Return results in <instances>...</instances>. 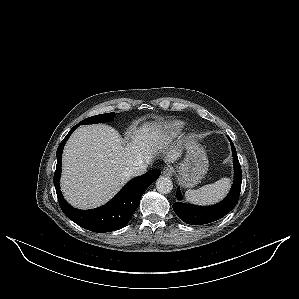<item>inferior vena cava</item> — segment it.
Masks as SVG:
<instances>
[{
    "instance_id": "1",
    "label": "inferior vena cava",
    "mask_w": 299,
    "mask_h": 299,
    "mask_svg": "<svg viewBox=\"0 0 299 299\" xmlns=\"http://www.w3.org/2000/svg\"><path fill=\"white\" fill-rule=\"evenodd\" d=\"M147 167H148V164H140L136 167H133L128 171L129 175L133 176V177L142 175V174L146 173Z\"/></svg>"
}]
</instances>
